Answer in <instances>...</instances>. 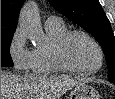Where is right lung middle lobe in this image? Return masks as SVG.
<instances>
[{"instance_id":"dd1d6c3e","label":"right lung middle lobe","mask_w":115,"mask_h":99,"mask_svg":"<svg viewBox=\"0 0 115 99\" xmlns=\"http://www.w3.org/2000/svg\"><path fill=\"white\" fill-rule=\"evenodd\" d=\"M14 35V31H1V67L13 66L10 55V44Z\"/></svg>"}]
</instances>
